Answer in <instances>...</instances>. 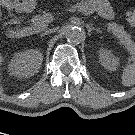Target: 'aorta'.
I'll return each mask as SVG.
<instances>
[{"label": "aorta", "instance_id": "1", "mask_svg": "<svg viewBox=\"0 0 135 135\" xmlns=\"http://www.w3.org/2000/svg\"><path fill=\"white\" fill-rule=\"evenodd\" d=\"M66 39L71 43H80L84 39V32L76 26H69L65 31Z\"/></svg>", "mask_w": 135, "mask_h": 135}]
</instances>
